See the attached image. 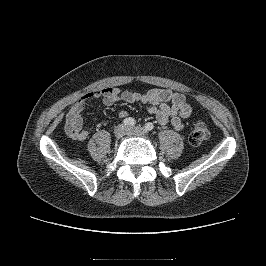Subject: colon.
Listing matches in <instances>:
<instances>
[{"label":"colon","instance_id":"1","mask_svg":"<svg viewBox=\"0 0 266 266\" xmlns=\"http://www.w3.org/2000/svg\"><path fill=\"white\" fill-rule=\"evenodd\" d=\"M209 137V130L203 120H197L189 136V142L192 145H200Z\"/></svg>","mask_w":266,"mask_h":266}]
</instances>
